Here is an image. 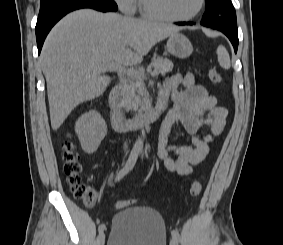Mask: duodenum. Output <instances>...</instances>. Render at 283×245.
<instances>
[{
	"mask_svg": "<svg viewBox=\"0 0 283 245\" xmlns=\"http://www.w3.org/2000/svg\"><path fill=\"white\" fill-rule=\"evenodd\" d=\"M121 89V84H117L109 95L111 123L113 128L118 131L137 129L152 124L159 118L167 106V97L160 93L156 104L151 109L138 116L128 118L122 111Z\"/></svg>",
	"mask_w": 283,
	"mask_h": 245,
	"instance_id": "1",
	"label": "duodenum"
}]
</instances>
